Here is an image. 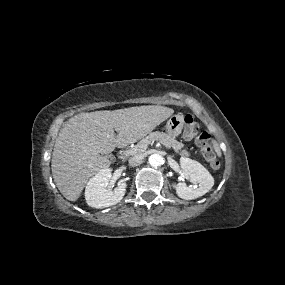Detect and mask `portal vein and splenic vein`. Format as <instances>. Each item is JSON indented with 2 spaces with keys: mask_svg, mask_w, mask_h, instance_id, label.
I'll return each instance as SVG.
<instances>
[{
  "mask_svg": "<svg viewBox=\"0 0 285 285\" xmlns=\"http://www.w3.org/2000/svg\"><path fill=\"white\" fill-rule=\"evenodd\" d=\"M162 144L167 148L170 149L169 145H167L166 143L162 142ZM147 146H144V148L146 149Z\"/></svg>",
  "mask_w": 285,
  "mask_h": 285,
  "instance_id": "1",
  "label": "portal vein and splenic vein"
}]
</instances>
